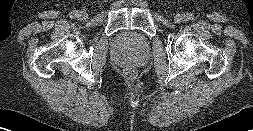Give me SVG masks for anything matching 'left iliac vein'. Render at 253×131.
<instances>
[{"label": "left iliac vein", "mask_w": 253, "mask_h": 131, "mask_svg": "<svg viewBox=\"0 0 253 131\" xmlns=\"http://www.w3.org/2000/svg\"><path fill=\"white\" fill-rule=\"evenodd\" d=\"M186 16L184 14H177L175 17H174V20L176 23H181L185 20Z\"/></svg>", "instance_id": "left-iliac-vein-1"}]
</instances>
